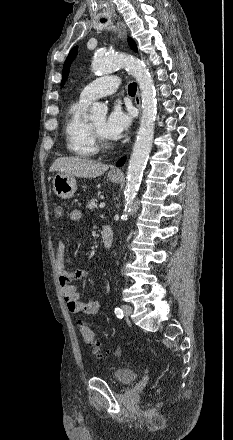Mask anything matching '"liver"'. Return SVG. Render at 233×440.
Instances as JSON below:
<instances>
[{"instance_id":"6515ba94","label":"liver","mask_w":233,"mask_h":440,"mask_svg":"<svg viewBox=\"0 0 233 440\" xmlns=\"http://www.w3.org/2000/svg\"><path fill=\"white\" fill-rule=\"evenodd\" d=\"M108 165L86 157H61L54 161L50 171L83 178H95L107 171Z\"/></svg>"}]
</instances>
